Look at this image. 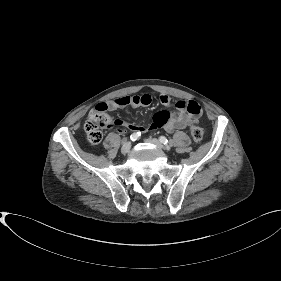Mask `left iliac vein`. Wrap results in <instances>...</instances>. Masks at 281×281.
Here are the masks:
<instances>
[{"mask_svg": "<svg viewBox=\"0 0 281 281\" xmlns=\"http://www.w3.org/2000/svg\"><path fill=\"white\" fill-rule=\"evenodd\" d=\"M147 143L153 144L157 146L158 148L162 149L163 145L155 138H148L145 140ZM169 148V147H168Z\"/></svg>", "mask_w": 281, "mask_h": 281, "instance_id": "left-iliac-vein-1", "label": "left iliac vein"}]
</instances>
